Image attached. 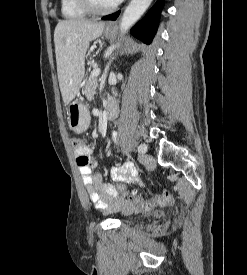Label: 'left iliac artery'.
Wrapping results in <instances>:
<instances>
[{
    "mask_svg": "<svg viewBox=\"0 0 247 275\" xmlns=\"http://www.w3.org/2000/svg\"><path fill=\"white\" fill-rule=\"evenodd\" d=\"M147 150V146L145 144H141L139 147H138V152L139 153H145Z\"/></svg>",
    "mask_w": 247,
    "mask_h": 275,
    "instance_id": "left-iliac-artery-1",
    "label": "left iliac artery"
}]
</instances>
